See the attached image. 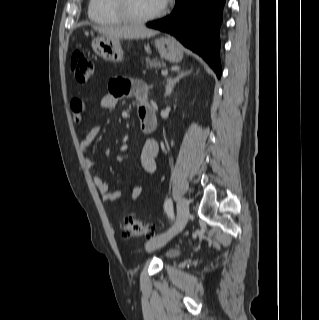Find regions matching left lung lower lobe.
I'll return each mask as SVG.
<instances>
[{"label":"left lung lower lobe","instance_id":"left-lung-lower-lobe-1","mask_svg":"<svg viewBox=\"0 0 319 320\" xmlns=\"http://www.w3.org/2000/svg\"><path fill=\"white\" fill-rule=\"evenodd\" d=\"M224 2L225 0H176L171 15L146 25L175 36L185 47L202 56L220 78L219 26Z\"/></svg>","mask_w":319,"mask_h":320}]
</instances>
